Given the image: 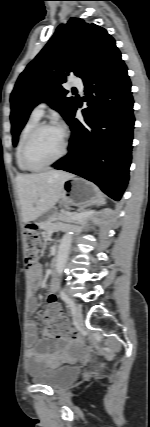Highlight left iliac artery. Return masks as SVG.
<instances>
[{"label": "left iliac artery", "instance_id": "1", "mask_svg": "<svg viewBox=\"0 0 150 427\" xmlns=\"http://www.w3.org/2000/svg\"><path fill=\"white\" fill-rule=\"evenodd\" d=\"M60 297L65 303L68 304V306L71 309L72 314H74L75 313V305H74L73 300L66 294V292L64 290L60 291Z\"/></svg>", "mask_w": 150, "mask_h": 427}]
</instances>
